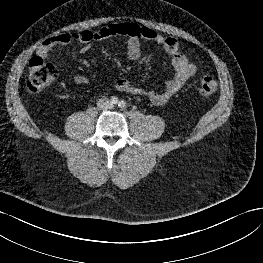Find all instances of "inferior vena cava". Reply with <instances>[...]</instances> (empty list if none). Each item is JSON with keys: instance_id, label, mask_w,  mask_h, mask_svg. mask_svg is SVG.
Segmentation results:
<instances>
[{"instance_id": "1", "label": "inferior vena cava", "mask_w": 263, "mask_h": 263, "mask_svg": "<svg viewBox=\"0 0 263 263\" xmlns=\"http://www.w3.org/2000/svg\"><path fill=\"white\" fill-rule=\"evenodd\" d=\"M97 107L102 110H108L113 107V104L107 98H101L97 102Z\"/></svg>"}]
</instances>
